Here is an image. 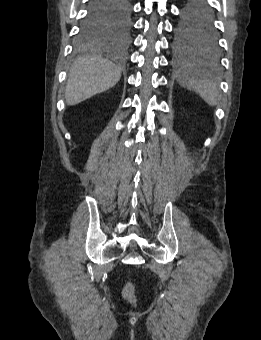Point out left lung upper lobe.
I'll return each instance as SVG.
<instances>
[{
	"instance_id": "5c2ea615",
	"label": "left lung upper lobe",
	"mask_w": 261,
	"mask_h": 340,
	"mask_svg": "<svg viewBox=\"0 0 261 340\" xmlns=\"http://www.w3.org/2000/svg\"><path fill=\"white\" fill-rule=\"evenodd\" d=\"M175 46L215 58L219 55L218 34L210 6L204 0H191L176 26Z\"/></svg>"
}]
</instances>
